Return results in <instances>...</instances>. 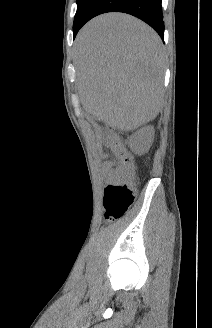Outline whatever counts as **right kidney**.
I'll use <instances>...</instances> for the list:
<instances>
[{
  "label": "right kidney",
  "mask_w": 212,
  "mask_h": 328,
  "mask_svg": "<svg viewBox=\"0 0 212 328\" xmlns=\"http://www.w3.org/2000/svg\"><path fill=\"white\" fill-rule=\"evenodd\" d=\"M154 133L153 127L147 126L141 129L133 136V140H136L140 149H144L147 146L148 141L151 139Z\"/></svg>",
  "instance_id": "ca27d5eb"
}]
</instances>
